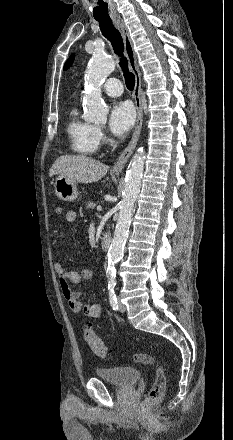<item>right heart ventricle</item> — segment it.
<instances>
[{
	"instance_id": "e07e8e85",
	"label": "right heart ventricle",
	"mask_w": 233,
	"mask_h": 440,
	"mask_svg": "<svg viewBox=\"0 0 233 440\" xmlns=\"http://www.w3.org/2000/svg\"><path fill=\"white\" fill-rule=\"evenodd\" d=\"M96 127L80 118L79 111L73 107L67 122V135L72 150L80 156H92L99 149Z\"/></svg>"
}]
</instances>
